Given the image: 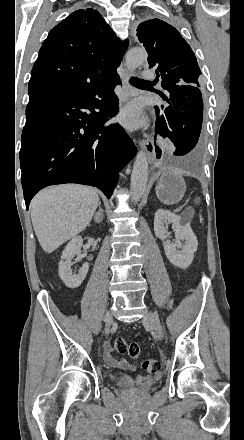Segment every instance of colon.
<instances>
[{"label":"colon","mask_w":244,"mask_h":440,"mask_svg":"<svg viewBox=\"0 0 244 440\" xmlns=\"http://www.w3.org/2000/svg\"><path fill=\"white\" fill-rule=\"evenodd\" d=\"M113 351L117 354L127 353L131 358H138L141 355V348L138 343H127V341L119 336L113 342ZM143 369L150 375L159 373L161 364L155 358H146L142 361Z\"/></svg>","instance_id":"colon-1"}]
</instances>
